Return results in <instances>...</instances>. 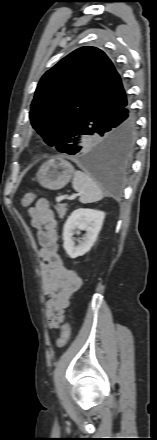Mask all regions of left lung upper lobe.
Masks as SVG:
<instances>
[{
    "instance_id": "5c2ea615",
    "label": "left lung upper lobe",
    "mask_w": 157,
    "mask_h": 440,
    "mask_svg": "<svg viewBox=\"0 0 157 440\" xmlns=\"http://www.w3.org/2000/svg\"><path fill=\"white\" fill-rule=\"evenodd\" d=\"M127 100L120 75L106 54L81 47L41 78L31 104L32 127L64 152L77 145Z\"/></svg>"
}]
</instances>
